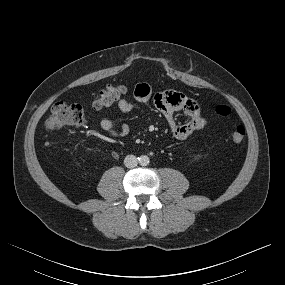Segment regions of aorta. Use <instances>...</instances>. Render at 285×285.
Wrapping results in <instances>:
<instances>
[{
    "mask_svg": "<svg viewBox=\"0 0 285 285\" xmlns=\"http://www.w3.org/2000/svg\"><path fill=\"white\" fill-rule=\"evenodd\" d=\"M150 160L149 157L146 155H142L139 157V163L142 166H147L149 164Z\"/></svg>",
    "mask_w": 285,
    "mask_h": 285,
    "instance_id": "obj_1",
    "label": "aorta"
}]
</instances>
